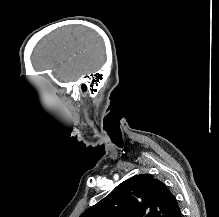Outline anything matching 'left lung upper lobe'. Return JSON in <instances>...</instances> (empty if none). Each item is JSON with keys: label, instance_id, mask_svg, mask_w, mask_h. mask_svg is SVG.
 <instances>
[{"label": "left lung upper lobe", "instance_id": "1", "mask_svg": "<svg viewBox=\"0 0 219 217\" xmlns=\"http://www.w3.org/2000/svg\"><path fill=\"white\" fill-rule=\"evenodd\" d=\"M180 208L167 186L151 174L133 176L80 217H176Z\"/></svg>", "mask_w": 219, "mask_h": 217}]
</instances>
